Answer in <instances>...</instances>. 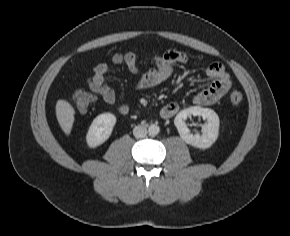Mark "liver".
<instances>
[{
	"label": "liver",
	"instance_id": "obj_1",
	"mask_svg": "<svg viewBox=\"0 0 290 236\" xmlns=\"http://www.w3.org/2000/svg\"><path fill=\"white\" fill-rule=\"evenodd\" d=\"M55 109L60 127L66 135H69L74 123V108L66 100L60 99L57 101Z\"/></svg>",
	"mask_w": 290,
	"mask_h": 236
}]
</instances>
